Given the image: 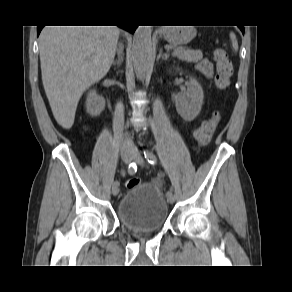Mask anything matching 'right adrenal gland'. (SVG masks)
Here are the masks:
<instances>
[{
  "mask_svg": "<svg viewBox=\"0 0 292 292\" xmlns=\"http://www.w3.org/2000/svg\"><path fill=\"white\" fill-rule=\"evenodd\" d=\"M123 62V50L122 48L120 49V51L118 52V59H116L115 61H113V65H117L120 66Z\"/></svg>",
  "mask_w": 292,
  "mask_h": 292,
  "instance_id": "right-adrenal-gland-1",
  "label": "right adrenal gland"
}]
</instances>
